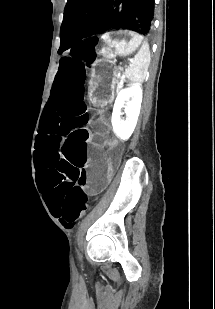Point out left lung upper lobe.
<instances>
[{
	"instance_id": "5c2ea615",
	"label": "left lung upper lobe",
	"mask_w": 215,
	"mask_h": 309,
	"mask_svg": "<svg viewBox=\"0 0 215 309\" xmlns=\"http://www.w3.org/2000/svg\"><path fill=\"white\" fill-rule=\"evenodd\" d=\"M154 14V0H68L59 52L81 40L115 28L148 34Z\"/></svg>"
}]
</instances>
